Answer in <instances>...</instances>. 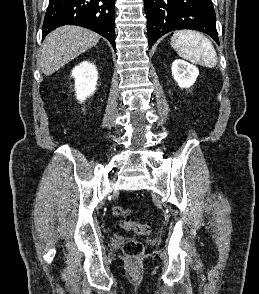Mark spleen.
<instances>
[{"instance_id":"obj_1","label":"spleen","mask_w":259,"mask_h":294,"mask_svg":"<svg viewBox=\"0 0 259 294\" xmlns=\"http://www.w3.org/2000/svg\"><path fill=\"white\" fill-rule=\"evenodd\" d=\"M171 46L180 57L193 63L208 68H213L217 64V54L213 44L199 32L176 31L171 38Z\"/></svg>"}]
</instances>
